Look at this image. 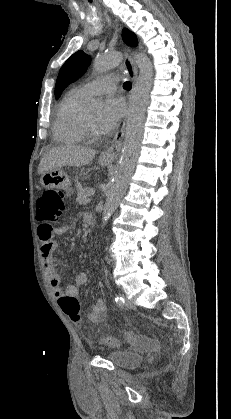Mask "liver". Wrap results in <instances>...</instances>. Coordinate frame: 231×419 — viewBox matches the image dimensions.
Listing matches in <instances>:
<instances>
[{"label":"liver","mask_w":231,"mask_h":419,"mask_svg":"<svg viewBox=\"0 0 231 419\" xmlns=\"http://www.w3.org/2000/svg\"><path fill=\"white\" fill-rule=\"evenodd\" d=\"M96 151L80 146H58L52 148L41 159L38 166V174L46 171L59 169L63 166H84L89 164L95 157Z\"/></svg>","instance_id":"obj_1"}]
</instances>
